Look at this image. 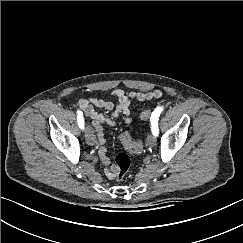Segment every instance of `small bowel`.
Wrapping results in <instances>:
<instances>
[{"label":"small bowel","instance_id":"obj_1","mask_svg":"<svg viewBox=\"0 0 243 243\" xmlns=\"http://www.w3.org/2000/svg\"><path fill=\"white\" fill-rule=\"evenodd\" d=\"M112 95L117 99L118 103L114 104L109 100L100 98H84L79 100L78 105L83 111L84 115L92 119V124L98 136L99 149L98 154L102 164L105 166L104 173L109 179H114V169L109 157L107 156V149L105 147V138L103 133V126L113 127L116 125L115 118L121 117L125 123L132 122L130 116L131 100L149 101L158 99L162 96L160 90H150L145 92L124 91L122 89H115ZM97 109H105L109 111L110 116L100 114Z\"/></svg>","mask_w":243,"mask_h":243}]
</instances>
